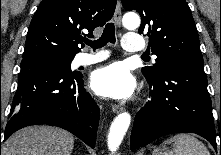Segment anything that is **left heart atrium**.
Here are the masks:
<instances>
[{
  "label": "left heart atrium",
  "instance_id": "1",
  "mask_svg": "<svg viewBox=\"0 0 221 155\" xmlns=\"http://www.w3.org/2000/svg\"><path fill=\"white\" fill-rule=\"evenodd\" d=\"M135 85L134 77L120 62L99 68L91 76V88L98 95L105 97L128 98L132 95Z\"/></svg>",
  "mask_w": 221,
  "mask_h": 155
}]
</instances>
